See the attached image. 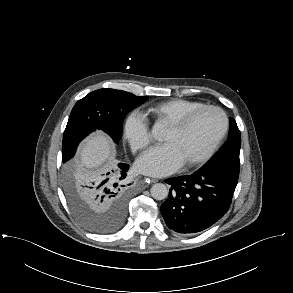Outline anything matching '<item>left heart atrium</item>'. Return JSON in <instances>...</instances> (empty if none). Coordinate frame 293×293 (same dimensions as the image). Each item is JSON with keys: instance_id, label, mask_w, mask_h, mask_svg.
<instances>
[{"instance_id": "left-heart-atrium-1", "label": "left heart atrium", "mask_w": 293, "mask_h": 293, "mask_svg": "<svg viewBox=\"0 0 293 293\" xmlns=\"http://www.w3.org/2000/svg\"><path fill=\"white\" fill-rule=\"evenodd\" d=\"M183 165L174 147L164 144L151 148L136 162L137 171L151 175L163 176L176 171Z\"/></svg>"}]
</instances>
